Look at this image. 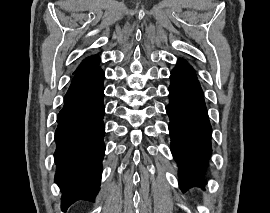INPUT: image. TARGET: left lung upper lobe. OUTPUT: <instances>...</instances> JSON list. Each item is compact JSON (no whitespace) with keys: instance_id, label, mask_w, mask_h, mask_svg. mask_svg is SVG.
Here are the masks:
<instances>
[{"instance_id":"1","label":"left lung upper lobe","mask_w":270,"mask_h":213,"mask_svg":"<svg viewBox=\"0 0 270 213\" xmlns=\"http://www.w3.org/2000/svg\"><path fill=\"white\" fill-rule=\"evenodd\" d=\"M178 63H186L184 60H179Z\"/></svg>"}]
</instances>
